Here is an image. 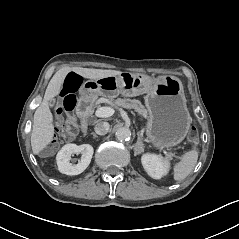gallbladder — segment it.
<instances>
[{"mask_svg":"<svg viewBox=\"0 0 239 239\" xmlns=\"http://www.w3.org/2000/svg\"><path fill=\"white\" fill-rule=\"evenodd\" d=\"M55 104H56V100H55V99H50V100L48 101V106H49V107H54Z\"/></svg>","mask_w":239,"mask_h":239,"instance_id":"bac80fb5","label":"gallbladder"}]
</instances>
